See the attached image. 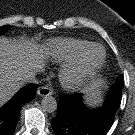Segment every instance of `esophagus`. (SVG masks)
<instances>
[{"instance_id": "34e87169", "label": "esophagus", "mask_w": 135, "mask_h": 135, "mask_svg": "<svg viewBox=\"0 0 135 135\" xmlns=\"http://www.w3.org/2000/svg\"><path fill=\"white\" fill-rule=\"evenodd\" d=\"M52 93H53V90L49 86H42V87L38 88V90H37V94L42 97L52 95Z\"/></svg>"}]
</instances>
